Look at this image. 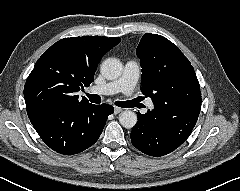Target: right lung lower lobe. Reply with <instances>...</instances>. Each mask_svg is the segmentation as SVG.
<instances>
[{
    "mask_svg": "<svg viewBox=\"0 0 240 191\" xmlns=\"http://www.w3.org/2000/svg\"><path fill=\"white\" fill-rule=\"evenodd\" d=\"M114 112L108 104L57 105L29 115L44 143L52 150L74 155L92 146Z\"/></svg>",
    "mask_w": 240,
    "mask_h": 191,
    "instance_id": "right-lung-lower-lobe-1",
    "label": "right lung lower lobe"
}]
</instances>
